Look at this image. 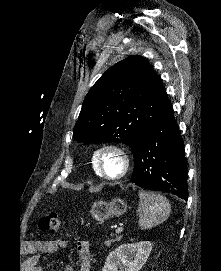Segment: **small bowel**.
Masks as SVG:
<instances>
[{
  "label": "small bowel",
  "instance_id": "obj_1",
  "mask_svg": "<svg viewBox=\"0 0 221 271\" xmlns=\"http://www.w3.org/2000/svg\"><path fill=\"white\" fill-rule=\"evenodd\" d=\"M68 241L56 238L50 240H37L29 244L33 256L29 259L28 265L32 271H43L41 267H37L39 259L45 254H55L61 248H65ZM76 249L79 257V271H91V253L90 245L87 240L79 239L76 241ZM63 271H74L71 265H66Z\"/></svg>",
  "mask_w": 221,
  "mask_h": 271
}]
</instances>
